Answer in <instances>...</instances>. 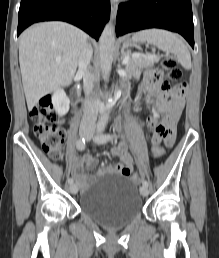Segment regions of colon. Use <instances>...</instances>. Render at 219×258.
<instances>
[{
	"mask_svg": "<svg viewBox=\"0 0 219 258\" xmlns=\"http://www.w3.org/2000/svg\"><path fill=\"white\" fill-rule=\"evenodd\" d=\"M162 67L169 80L180 82L182 71L178 68L176 60L166 56L162 60ZM181 90L185 88L184 83H179ZM30 117L34 122V134L40 141L43 150L52 158L59 159L65 141V131L61 126V118L55 111L49 96L42 97L30 110ZM153 155L157 161L165 156V150L159 145L153 147ZM132 182L139 183L141 175L135 173L131 177Z\"/></svg>",
	"mask_w": 219,
	"mask_h": 258,
	"instance_id": "colon-1",
	"label": "colon"
}]
</instances>
